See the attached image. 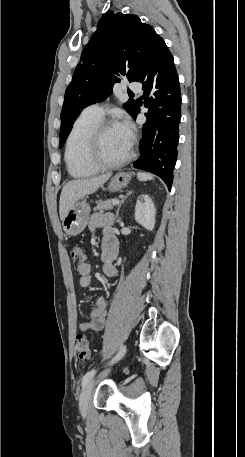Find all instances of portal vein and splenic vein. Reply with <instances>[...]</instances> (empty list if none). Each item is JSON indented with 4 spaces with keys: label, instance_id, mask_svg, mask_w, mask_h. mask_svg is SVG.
Returning a JSON list of instances; mask_svg holds the SVG:
<instances>
[{
    "label": "portal vein and splenic vein",
    "instance_id": "1",
    "mask_svg": "<svg viewBox=\"0 0 245 457\" xmlns=\"http://www.w3.org/2000/svg\"><path fill=\"white\" fill-rule=\"evenodd\" d=\"M112 204H119V200H118V198H114V200H113Z\"/></svg>",
    "mask_w": 245,
    "mask_h": 457
}]
</instances>
